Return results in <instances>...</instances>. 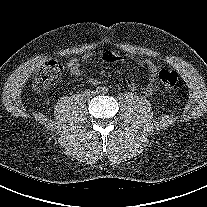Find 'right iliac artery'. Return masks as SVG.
I'll return each mask as SVG.
<instances>
[{"label": "right iliac artery", "mask_w": 207, "mask_h": 207, "mask_svg": "<svg viewBox=\"0 0 207 207\" xmlns=\"http://www.w3.org/2000/svg\"><path fill=\"white\" fill-rule=\"evenodd\" d=\"M102 90H103V88L98 87L96 91H97V92H101Z\"/></svg>", "instance_id": "obj_1"}]
</instances>
